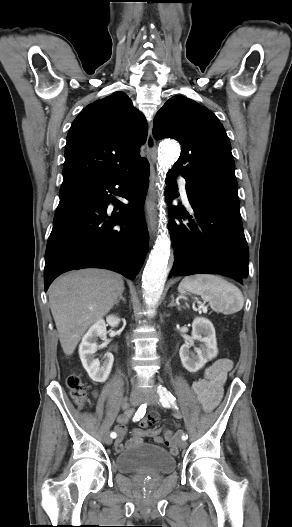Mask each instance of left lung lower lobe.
<instances>
[{
	"label": "left lung lower lobe",
	"instance_id": "1",
	"mask_svg": "<svg viewBox=\"0 0 292 527\" xmlns=\"http://www.w3.org/2000/svg\"><path fill=\"white\" fill-rule=\"evenodd\" d=\"M177 174L169 172L166 199L172 232L174 266L171 275L220 274L242 282L248 275V246L239 211L238 196L186 186L194 213L171 205L177 190ZM181 216L189 223L183 224Z\"/></svg>",
	"mask_w": 292,
	"mask_h": 527
}]
</instances>
